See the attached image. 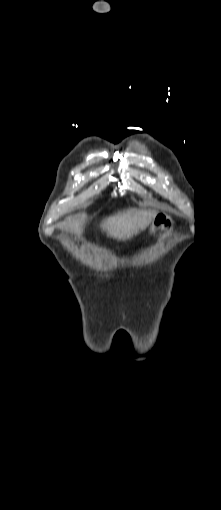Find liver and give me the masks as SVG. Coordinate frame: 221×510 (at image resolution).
<instances>
[{
  "label": "liver",
  "mask_w": 221,
  "mask_h": 510,
  "mask_svg": "<svg viewBox=\"0 0 221 510\" xmlns=\"http://www.w3.org/2000/svg\"><path fill=\"white\" fill-rule=\"evenodd\" d=\"M156 214L154 210L129 208L105 219L101 227L107 236L118 241H126L145 230L153 222Z\"/></svg>",
  "instance_id": "1"
}]
</instances>
